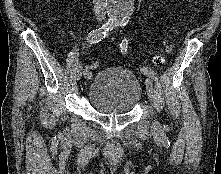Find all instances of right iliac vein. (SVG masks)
<instances>
[{
  "label": "right iliac vein",
  "instance_id": "63e3f726",
  "mask_svg": "<svg viewBox=\"0 0 221 174\" xmlns=\"http://www.w3.org/2000/svg\"><path fill=\"white\" fill-rule=\"evenodd\" d=\"M82 73H83V69H82V66L80 65V66L77 68V73H76V78H77V80H80V79H81Z\"/></svg>",
  "mask_w": 221,
  "mask_h": 174
}]
</instances>
